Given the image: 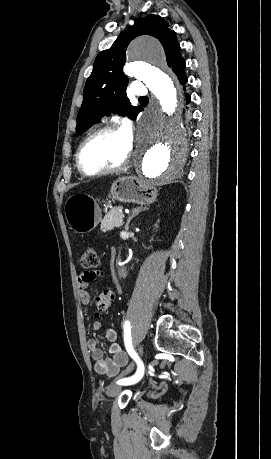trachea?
<instances>
[{"label":"trachea","mask_w":271,"mask_h":459,"mask_svg":"<svg viewBox=\"0 0 271 459\" xmlns=\"http://www.w3.org/2000/svg\"><path fill=\"white\" fill-rule=\"evenodd\" d=\"M148 99V97H140V100Z\"/></svg>","instance_id":"3493384b"}]
</instances>
